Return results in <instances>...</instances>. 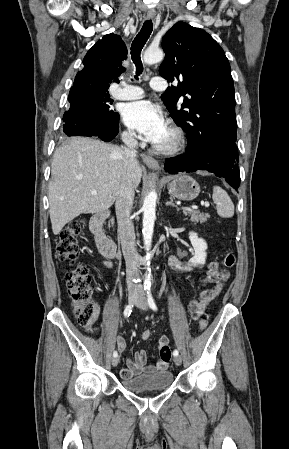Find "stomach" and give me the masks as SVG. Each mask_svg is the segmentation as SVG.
<instances>
[{"mask_svg":"<svg viewBox=\"0 0 289 449\" xmlns=\"http://www.w3.org/2000/svg\"><path fill=\"white\" fill-rule=\"evenodd\" d=\"M169 193L183 201L194 200L200 192L199 184L187 175H180L173 178L168 184Z\"/></svg>","mask_w":289,"mask_h":449,"instance_id":"obj_1","label":"stomach"}]
</instances>
